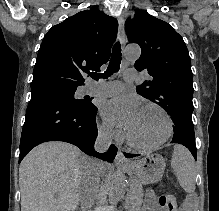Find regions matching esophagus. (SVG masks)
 I'll list each match as a JSON object with an SVG mask.
<instances>
[{"label": "esophagus", "instance_id": "1", "mask_svg": "<svg viewBox=\"0 0 219 211\" xmlns=\"http://www.w3.org/2000/svg\"><path fill=\"white\" fill-rule=\"evenodd\" d=\"M118 24H119V37H120L121 47L124 50L125 33H124V18L122 16L118 17ZM115 162L116 164L128 163L120 149L118 150L117 156L115 158Z\"/></svg>", "mask_w": 219, "mask_h": 211}]
</instances>
